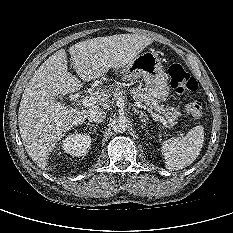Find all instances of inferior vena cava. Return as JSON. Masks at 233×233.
Masks as SVG:
<instances>
[{"label":"inferior vena cava","instance_id":"1","mask_svg":"<svg viewBox=\"0 0 233 233\" xmlns=\"http://www.w3.org/2000/svg\"><path fill=\"white\" fill-rule=\"evenodd\" d=\"M106 118V113L103 110L95 109L92 110L88 115V120L90 122H102Z\"/></svg>","mask_w":233,"mask_h":233}]
</instances>
